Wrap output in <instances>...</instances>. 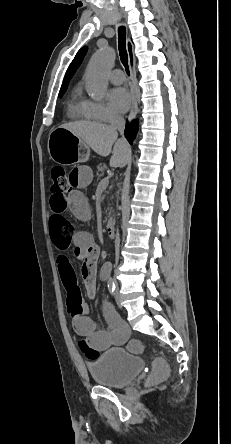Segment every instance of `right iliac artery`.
Segmentation results:
<instances>
[{
	"instance_id": "82829eb1",
	"label": "right iliac artery",
	"mask_w": 231,
	"mask_h": 444,
	"mask_svg": "<svg viewBox=\"0 0 231 444\" xmlns=\"http://www.w3.org/2000/svg\"><path fill=\"white\" fill-rule=\"evenodd\" d=\"M108 290L110 294L113 296L115 291V283L111 277L108 279Z\"/></svg>"
}]
</instances>
